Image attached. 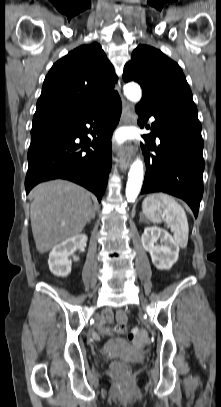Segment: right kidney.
<instances>
[{
  "instance_id": "ca27d5eb",
  "label": "right kidney",
  "mask_w": 221,
  "mask_h": 407,
  "mask_svg": "<svg viewBox=\"0 0 221 407\" xmlns=\"http://www.w3.org/2000/svg\"><path fill=\"white\" fill-rule=\"evenodd\" d=\"M87 243L85 234H78L57 244L49 254V269L58 277H66L71 273V260L68 257L76 248L84 251Z\"/></svg>"
}]
</instances>
